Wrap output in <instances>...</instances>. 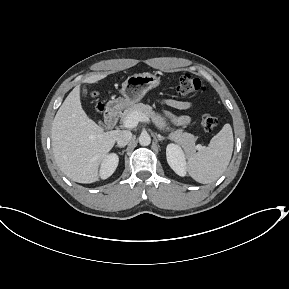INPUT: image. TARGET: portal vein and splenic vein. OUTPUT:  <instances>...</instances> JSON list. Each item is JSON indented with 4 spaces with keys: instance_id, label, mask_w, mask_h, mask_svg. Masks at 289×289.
Masks as SVG:
<instances>
[{
    "instance_id": "18ae733b",
    "label": "portal vein and splenic vein",
    "mask_w": 289,
    "mask_h": 289,
    "mask_svg": "<svg viewBox=\"0 0 289 289\" xmlns=\"http://www.w3.org/2000/svg\"><path fill=\"white\" fill-rule=\"evenodd\" d=\"M149 122V117H147L144 114L138 113V112H134L130 115H128L124 121H123V125L125 128H134L138 125L139 122ZM201 146H197V149H200Z\"/></svg>"
}]
</instances>
